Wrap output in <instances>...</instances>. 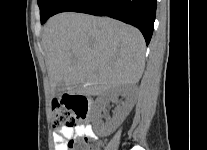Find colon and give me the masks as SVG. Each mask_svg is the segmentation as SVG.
Segmentation results:
<instances>
[{"label": "colon", "instance_id": "obj_1", "mask_svg": "<svg viewBox=\"0 0 207 150\" xmlns=\"http://www.w3.org/2000/svg\"><path fill=\"white\" fill-rule=\"evenodd\" d=\"M52 123L54 126L76 127L86 119L88 100L68 95V100L54 99L52 101ZM65 150H96L95 146L87 143H76L73 140L66 142Z\"/></svg>", "mask_w": 207, "mask_h": 150}]
</instances>
